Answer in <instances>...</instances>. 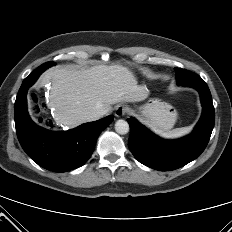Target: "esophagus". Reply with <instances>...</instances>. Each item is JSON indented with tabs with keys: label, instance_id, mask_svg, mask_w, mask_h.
<instances>
[{
	"label": "esophagus",
	"instance_id": "34e87169",
	"mask_svg": "<svg viewBox=\"0 0 232 232\" xmlns=\"http://www.w3.org/2000/svg\"><path fill=\"white\" fill-rule=\"evenodd\" d=\"M130 111V108L126 105H118L115 109V116L121 117L126 114H128Z\"/></svg>",
	"mask_w": 232,
	"mask_h": 232
}]
</instances>
